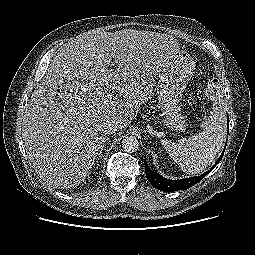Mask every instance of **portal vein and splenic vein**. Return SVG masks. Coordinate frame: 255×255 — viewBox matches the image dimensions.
Returning <instances> with one entry per match:
<instances>
[{
  "mask_svg": "<svg viewBox=\"0 0 255 255\" xmlns=\"http://www.w3.org/2000/svg\"><path fill=\"white\" fill-rule=\"evenodd\" d=\"M112 94H107L106 95V97H105V99H104V102L106 103V102H109L111 99H112Z\"/></svg>",
  "mask_w": 255,
  "mask_h": 255,
  "instance_id": "18ae733b",
  "label": "portal vein and splenic vein"
}]
</instances>
